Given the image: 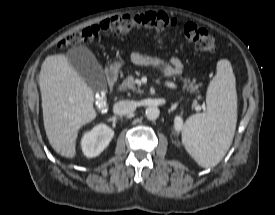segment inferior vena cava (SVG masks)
<instances>
[{
  "instance_id": "obj_1",
  "label": "inferior vena cava",
  "mask_w": 275,
  "mask_h": 215,
  "mask_svg": "<svg viewBox=\"0 0 275 215\" xmlns=\"http://www.w3.org/2000/svg\"><path fill=\"white\" fill-rule=\"evenodd\" d=\"M135 110V105L132 101L123 100L116 102L113 106V112L116 115H127Z\"/></svg>"
}]
</instances>
